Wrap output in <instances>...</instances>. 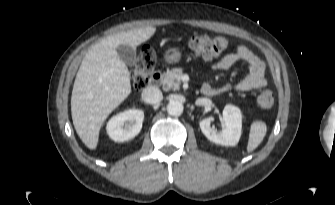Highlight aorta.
Listing matches in <instances>:
<instances>
[{
    "label": "aorta",
    "instance_id": "762f6f07",
    "mask_svg": "<svg viewBox=\"0 0 335 205\" xmlns=\"http://www.w3.org/2000/svg\"><path fill=\"white\" fill-rule=\"evenodd\" d=\"M183 104L180 101L172 100L167 105V112L172 116H180L183 113Z\"/></svg>",
    "mask_w": 335,
    "mask_h": 205
}]
</instances>
